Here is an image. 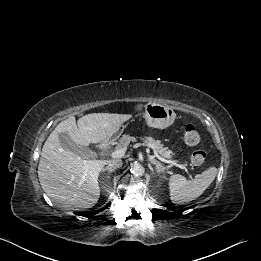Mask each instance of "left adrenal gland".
Returning <instances> with one entry per match:
<instances>
[{"label":"left adrenal gland","mask_w":261,"mask_h":261,"mask_svg":"<svg viewBox=\"0 0 261 261\" xmlns=\"http://www.w3.org/2000/svg\"><path fill=\"white\" fill-rule=\"evenodd\" d=\"M149 161H150V163L155 165L156 171H157L158 174H160L161 172L164 171L165 168L163 167V165L159 161H157V160H155L153 158H149Z\"/></svg>","instance_id":"1"}]
</instances>
